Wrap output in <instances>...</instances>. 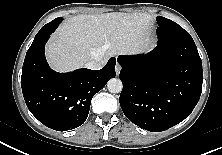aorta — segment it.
Listing matches in <instances>:
<instances>
[{"mask_svg":"<svg viewBox=\"0 0 222 155\" xmlns=\"http://www.w3.org/2000/svg\"><path fill=\"white\" fill-rule=\"evenodd\" d=\"M107 88L111 93H119L122 91L123 84L120 79L112 78L108 81Z\"/></svg>","mask_w":222,"mask_h":155,"instance_id":"obj_1","label":"aorta"}]
</instances>
